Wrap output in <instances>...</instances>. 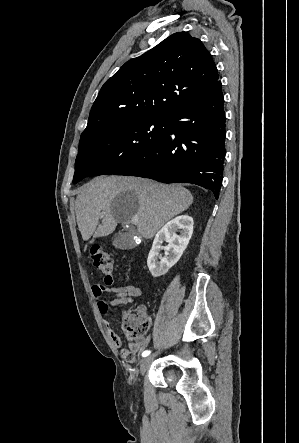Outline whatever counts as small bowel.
I'll use <instances>...</instances> for the list:
<instances>
[{
    "mask_svg": "<svg viewBox=\"0 0 299 443\" xmlns=\"http://www.w3.org/2000/svg\"><path fill=\"white\" fill-rule=\"evenodd\" d=\"M114 293L111 299L104 298V292L106 288L102 284H96L92 288L94 297L97 299L98 310L101 314L105 315L111 308H119L126 306L135 301L142 295V290L137 285H116L109 289ZM143 309V308H141ZM105 328L109 335V338L113 345L120 348L122 343L118 334L113 330L109 321H105ZM148 339L142 341L131 343L129 349L123 353V358L127 362H133L136 354L141 351L147 344Z\"/></svg>",
    "mask_w": 299,
    "mask_h": 443,
    "instance_id": "1",
    "label": "small bowel"
}]
</instances>
